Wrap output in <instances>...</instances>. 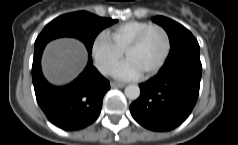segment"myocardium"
Returning <instances> with one entry per match:
<instances>
[{
	"mask_svg": "<svg viewBox=\"0 0 238 145\" xmlns=\"http://www.w3.org/2000/svg\"><path fill=\"white\" fill-rule=\"evenodd\" d=\"M152 29H158L163 33L164 36V40H165V47H164V51L163 54L161 56V58L159 59V61L156 63V65L151 68L149 71H147L146 73L142 74L143 77L148 78L151 77L152 75H154L155 73H157L160 68L164 65L165 61L167 60L169 53H170V49H171V40H170V35L168 33V31L165 29V27H163L160 24H150L149 26H147L146 28H144L130 43L129 45L126 47L125 51H124V56L126 58L127 54L129 52H131L132 50L136 49L143 41V39L145 38V36L152 30Z\"/></svg>",
	"mask_w": 238,
	"mask_h": 145,
	"instance_id": "f54148a6",
	"label": "myocardium"
}]
</instances>
